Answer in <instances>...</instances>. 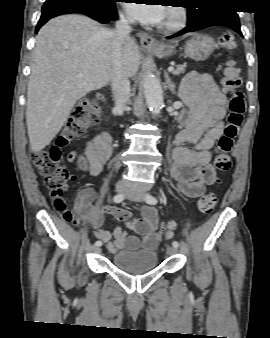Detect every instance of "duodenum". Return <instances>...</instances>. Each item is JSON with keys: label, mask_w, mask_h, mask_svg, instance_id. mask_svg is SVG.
I'll return each mask as SVG.
<instances>
[{"label": "duodenum", "mask_w": 270, "mask_h": 338, "mask_svg": "<svg viewBox=\"0 0 270 338\" xmlns=\"http://www.w3.org/2000/svg\"><path fill=\"white\" fill-rule=\"evenodd\" d=\"M106 120L107 121H112V117L110 115H106Z\"/></svg>", "instance_id": "410a0bca"}]
</instances>
